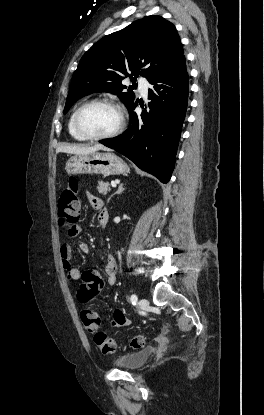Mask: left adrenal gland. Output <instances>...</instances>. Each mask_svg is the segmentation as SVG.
I'll use <instances>...</instances> for the list:
<instances>
[{"mask_svg": "<svg viewBox=\"0 0 264 415\" xmlns=\"http://www.w3.org/2000/svg\"><path fill=\"white\" fill-rule=\"evenodd\" d=\"M124 191L123 184H120L118 190L108 198V202L115 194H121Z\"/></svg>", "mask_w": 264, "mask_h": 415, "instance_id": "obj_1", "label": "left adrenal gland"}]
</instances>
